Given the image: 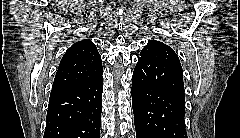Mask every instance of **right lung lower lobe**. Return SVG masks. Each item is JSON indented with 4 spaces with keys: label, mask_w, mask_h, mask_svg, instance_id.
<instances>
[{
    "label": "right lung lower lobe",
    "mask_w": 240,
    "mask_h": 138,
    "mask_svg": "<svg viewBox=\"0 0 240 138\" xmlns=\"http://www.w3.org/2000/svg\"><path fill=\"white\" fill-rule=\"evenodd\" d=\"M102 74L93 82L50 95L43 138H99Z\"/></svg>",
    "instance_id": "right-lung-lower-lobe-1"
}]
</instances>
